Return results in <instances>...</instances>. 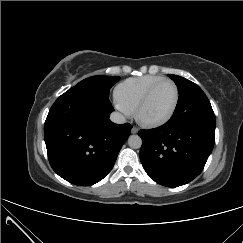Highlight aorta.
Wrapping results in <instances>:
<instances>
[{"mask_svg": "<svg viewBox=\"0 0 243 243\" xmlns=\"http://www.w3.org/2000/svg\"><path fill=\"white\" fill-rule=\"evenodd\" d=\"M128 145L133 149H139L142 145V139L138 135H131L128 138Z\"/></svg>", "mask_w": 243, "mask_h": 243, "instance_id": "1", "label": "aorta"}]
</instances>
